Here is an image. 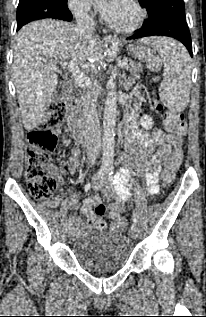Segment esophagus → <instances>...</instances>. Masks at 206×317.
Returning a JSON list of instances; mask_svg holds the SVG:
<instances>
[{"instance_id": "esophagus-1", "label": "esophagus", "mask_w": 206, "mask_h": 317, "mask_svg": "<svg viewBox=\"0 0 206 317\" xmlns=\"http://www.w3.org/2000/svg\"><path fill=\"white\" fill-rule=\"evenodd\" d=\"M103 39L105 41H118V38L115 35L113 36V35H110V34H106Z\"/></svg>"}]
</instances>
